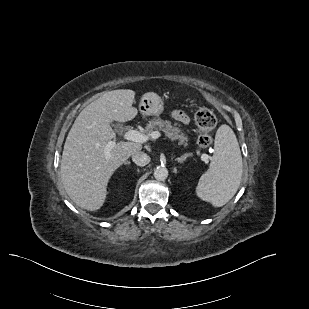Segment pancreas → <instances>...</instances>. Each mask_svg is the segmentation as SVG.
<instances>
[{
    "instance_id": "1",
    "label": "pancreas",
    "mask_w": 309,
    "mask_h": 309,
    "mask_svg": "<svg viewBox=\"0 0 309 309\" xmlns=\"http://www.w3.org/2000/svg\"><path fill=\"white\" fill-rule=\"evenodd\" d=\"M155 130L163 131L168 137L172 140H178L179 145L187 146V142L189 140L188 136L177 126L171 124L170 121L162 120L160 118L150 120L149 123L145 127V132L149 135ZM200 151L197 150V154Z\"/></svg>"
}]
</instances>
